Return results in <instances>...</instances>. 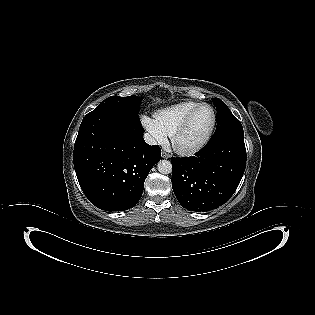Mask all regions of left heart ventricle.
I'll return each instance as SVG.
<instances>
[{"mask_svg": "<svg viewBox=\"0 0 315 315\" xmlns=\"http://www.w3.org/2000/svg\"><path fill=\"white\" fill-rule=\"evenodd\" d=\"M213 120L212 111L208 107L200 108L192 118L185 132L179 137L178 145L189 148L198 144L209 131Z\"/></svg>", "mask_w": 315, "mask_h": 315, "instance_id": "obj_1", "label": "left heart ventricle"}]
</instances>
